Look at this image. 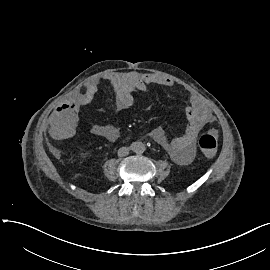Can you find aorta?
Instances as JSON below:
<instances>
[{
  "label": "aorta",
  "mask_w": 270,
  "mask_h": 270,
  "mask_svg": "<svg viewBox=\"0 0 270 270\" xmlns=\"http://www.w3.org/2000/svg\"><path fill=\"white\" fill-rule=\"evenodd\" d=\"M131 148L137 154H142L146 150L145 144L142 142H133Z\"/></svg>",
  "instance_id": "obj_1"
}]
</instances>
